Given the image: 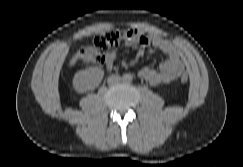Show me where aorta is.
Listing matches in <instances>:
<instances>
[{
	"mask_svg": "<svg viewBox=\"0 0 243 167\" xmlns=\"http://www.w3.org/2000/svg\"><path fill=\"white\" fill-rule=\"evenodd\" d=\"M122 79H123L124 82L129 83V82L132 81L133 76L131 74H124Z\"/></svg>",
	"mask_w": 243,
	"mask_h": 167,
	"instance_id": "762f6f07",
	"label": "aorta"
}]
</instances>
